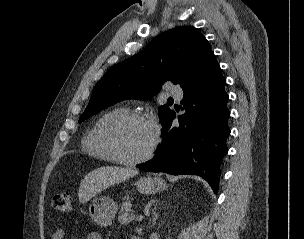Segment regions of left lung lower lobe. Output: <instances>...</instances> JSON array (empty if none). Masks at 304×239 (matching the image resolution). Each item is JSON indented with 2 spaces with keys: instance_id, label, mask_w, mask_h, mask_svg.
Here are the masks:
<instances>
[{
  "instance_id": "1",
  "label": "left lung lower lobe",
  "mask_w": 304,
  "mask_h": 239,
  "mask_svg": "<svg viewBox=\"0 0 304 239\" xmlns=\"http://www.w3.org/2000/svg\"><path fill=\"white\" fill-rule=\"evenodd\" d=\"M225 79L214 53L195 81L185 90L179 125L172 111L163 124V141L154 158L137 167L143 171L172 175L195 174L205 179L215 193L222 158L227 154L230 134Z\"/></svg>"
}]
</instances>
